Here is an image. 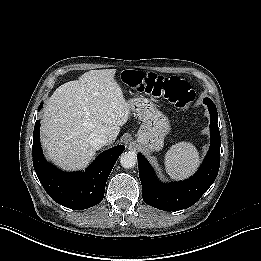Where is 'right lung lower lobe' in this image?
I'll return each instance as SVG.
<instances>
[{"instance_id": "right-lung-lower-lobe-1", "label": "right lung lower lobe", "mask_w": 261, "mask_h": 261, "mask_svg": "<svg viewBox=\"0 0 261 261\" xmlns=\"http://www.w3.org/2000/svg\"><path fill=\"white\" fill-rule=\"evenodd\" d=\"M39 129L40 121L37 120L33 133V166L49 196L74 210L98 204L104 197L108 176L125 147L119 145L103 152L86 171L67 173L46 162L40 146Z\"/></svg>"}]
</instances>
